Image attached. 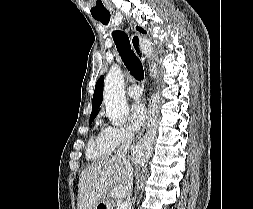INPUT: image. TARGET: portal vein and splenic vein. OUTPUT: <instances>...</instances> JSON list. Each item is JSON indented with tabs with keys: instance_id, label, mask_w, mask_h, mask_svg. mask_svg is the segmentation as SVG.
<instances>
[{
	"instance_id": "18ae733b",
	"label": "portal vein and splenic vein",
	"mask_w": 253,
	"mask_h": 209,
	"mask_svg": "<svg viewBox=\"0 0 253 209\" xmlns=\"http://www.w3.org/2000/svg\"><path fill=\"white\" fill-rule=\"evenodd\" d=\"M120 187H116L115 189H114V194H118L119 192H120ZM127 207H128V203L127 202H122L119 206H118V208L117 209H127Z\"/></svg>"
}]
</instances>
